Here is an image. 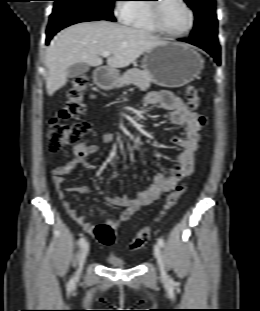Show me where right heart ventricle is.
<instances>
[{"mask_svg":"<svg viewBox=\"0 0 260 311\" xmlns=\"http://www.w3.org/2000/svg\"><path fill=\"white\" fill-rule=\"evenodd\" d=\"M137 1H147V0H137ZM149 4L137 3L129 4V11L126 14L124 22L136 29L149 31L153 33L159 32L153 25L150 15H149Z\"/></svg>","mask_w":260,"mask_h":311,"instance_id":"right-heart-ventricle-1","label":"right heart ventricle"}]
</instances>
